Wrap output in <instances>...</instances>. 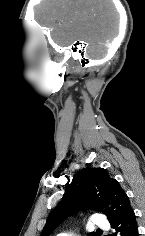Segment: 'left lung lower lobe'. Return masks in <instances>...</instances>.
<instances>
[{
  "instance_id": "left-lung-lower-lobe-1",
  "label": "left lung lower lobe",
  "mask_w": 145,
  "mask_h": 236,
  "mask_svg": "<svg viewBox=\"0 0 145 236\" xmlns=\"http://www.w3.org/2000/svg\"><path fill=\"white\" fill-rule=\"evenodd\" d=\"M113 233L110 236H138L136 216L132 207L120 218L110 222Z\"/></svg>"
}]
</instances>
